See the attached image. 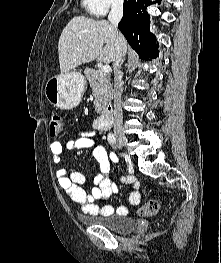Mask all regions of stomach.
I'll use <instances>...</instances> for the list:
<instances>
[{
    "mask_svg": "<svg viewBox=\"0 0 221 263\" xmlns=\"http://www.w3.org/2000/svg\"><path fill=\"white\" fill-rule=\"evenodd\" d=\"M85 86V78L80 72L61 73L47 81L45 96L55 107L71 110L79 105Z\"/></svg>",
    "mask_w": 221,
    "mask_h": 263,
    "instance_id": "0dacf381",
    "label": "stomach"
}]
</instances>
